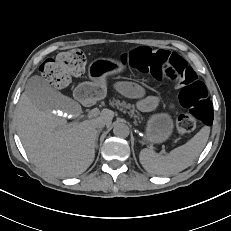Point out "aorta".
Instances as JSON below:
<instances>
[{
    "mask_svg": "<svg viewBox=\"0 0 231 231\" xmlns=\"http://www.w3.org/2000/svg\"><path fill=\"white\" fill-rule=\"evenodd\" d=\"M129 127L124 123H116L113 128V133L120 138H126L129 135Z\"/></svg>",
    "mask_w": 231,
    "mask_h": 231,
    "instance_id": "aorta-1",
    "label": "aorta"
}]
</instances>
